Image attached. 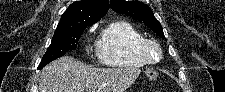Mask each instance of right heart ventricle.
<instances>
[{
    "label": "right heart ventricle",
    "mask_w": 225,
    "mask_h": 92,
    "mask_svg": "<svg viewBox=\"0 0 225 92\" xmlns=\"http://www.w3.org/2000/svg\"><path fill=\"white\" fill-rule=\"evenodd\" d=\"M143 33L124 20L113 21L102 31L98 40V57L111 67H140L146 64L140 52Z\"/></svg>",
    "instance_id": "obj_1"
}]
</instances>
